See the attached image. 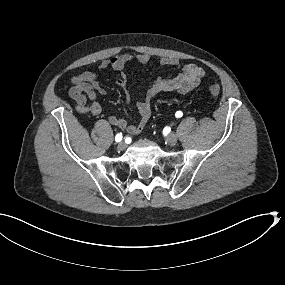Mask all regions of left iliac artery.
Masks as SVG:
<instances>
[{
	"mask_svg": "<svg viewBox=\"0 0 285 285\" xmlns=\"http://www.w3.org/2000/svg\"><path fill=\"white\" fill-rule=\"evenodd\" d=\"M182 115H183V113H182L181 111H177L176 114H175V116H176L177 118L182 117Z\"/></svg>",
	"mask_w": 285,
	"mask_h": 285,
	"instance_id": "obj_1",
	"label": "left iliac artery"
}]
</instances>
